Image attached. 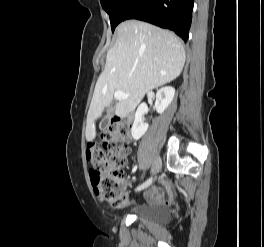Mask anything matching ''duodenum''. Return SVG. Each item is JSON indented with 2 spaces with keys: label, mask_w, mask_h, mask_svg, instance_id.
Segmentation results:
<instances>
[{
  "label": "duodenum",
  "mask_w": 264,
  "mask_h": 247,
  "mask_svg": "<svg viewBox=\"0 0 264 247\" xmlns=\"http://www.w3.org/2000/svg\"><path fill=\"white\" fill-rule=\"evenodd\" d=\"M125 120L127 123H130L132 121V114H128Z\"/></svg>",
  "instance_id": "duodenum-1"
}]
</instances>
